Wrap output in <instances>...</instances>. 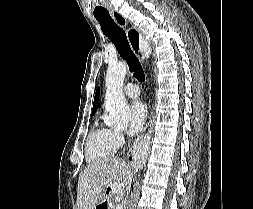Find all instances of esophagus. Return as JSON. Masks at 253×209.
<instances>
[{
  "instance_id": "esophagus-1",
  "label": "esophagus",
  "mask_w": 253,
  "mask_h": 209,
  "mask_svg": "<svg viewBox=\"0 0 253 209\" xmlns=\"http://www.w3.org/2000/svg\"><path fill=\"white\" fill-rule=\"evenodd\" d=\"M112 17L115 20V22L120 25V26H126L127 24V20L119 13V12H113L112 13ZM127 35L130 41V45L133 49L134 52H139L144 44V40H143V36L142 34L134 27H131L127 30ZM139 46V47H138ZM152 118H153V114L151 113V117H150V123L152 122ZM141 138H138L134 144L132 145V147L130 148V150L128 151V160L134 164V159H133V155L134 152L136 150L137 145L139 144Z\"/></svg>"
}]
</instances>
